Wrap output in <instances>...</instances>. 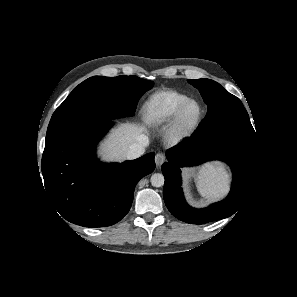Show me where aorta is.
I'll return each mask as SVG.
<instances>
[{
    "label": "aorta",
    "mask_w": 297,
    "mask_h": 297,
    "mask_svg": "<svg viewBox=\"0 0 297 297\" xmlns=\"http://www.w3.org/2000/svg\"><path fill=\"white\" fill-rule=\"evenodd\" d=\"M164 176L161 173H155L151 176V184L154 187H162L164 185Z\"/></svg>",
    "instance_id": "1"
}]
</instances>
